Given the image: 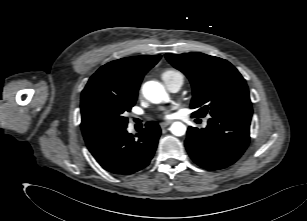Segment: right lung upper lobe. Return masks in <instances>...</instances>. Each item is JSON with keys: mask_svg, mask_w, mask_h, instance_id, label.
Here are the masks:
<instances>
[{"mask_svg": "<svg viewBox=\"0 0 307 221\" xmlns=\"http://www.w3.org/2000/svg\"><path fill=\"white\" fill-rule=\"evenodd\" d=\"M161 55L127 57L109 62L89 79L82 94L92 89L137 96L143 76L160 60ZM92 144L87 145L91 147Z\"/></svg>", "mask_w": 307, "mask_h": 221, "instance_id": "cb5924a9", "label": "right lung upper lobe"}]
</instances>
